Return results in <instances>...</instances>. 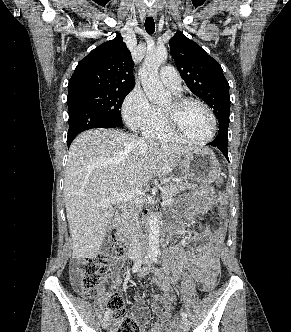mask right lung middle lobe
Masks as SVG:
<instances>
[{
    "instance_id": "1",
    "label": "right lung middle lobe",
    "mask_w": 291,
    "mask_h": 332,
    "mask_svg": "<svg viewBox=\"0 0 291 332\" xmlns=\"http://www.w3.org/2000/svg\"><path fill=\"white\" fill-rule=\"evenodd\" d=\"M131 89H114L83 93L67 98L69 111L78 105H87L95 111L102 113L115 127H122V102Z\"/></svg>"
}]
</instances>
